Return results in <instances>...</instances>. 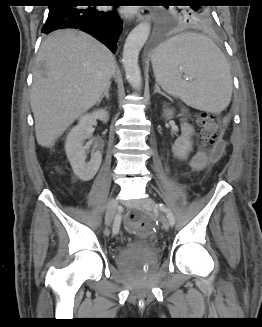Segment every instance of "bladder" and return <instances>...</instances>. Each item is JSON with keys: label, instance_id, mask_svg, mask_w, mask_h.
I'll use <instances>...</instances> for the list:
<instances>
[{"label": "bladder", "instance_id": "bladder-1", "mask_svg": "<svg viewBox=\"0 0 262 327\" xmlns=\"http://www.w3.org/2000/svg\"><path fill=\"white\" fill-rule=\"evenodd\" d=\"M144 249H149L153 253L155 252V250L149 245L148 240H135L121 249L119 260L122 261L124 258L131 257Z\"/></svg>", "mask_w": 262, "mask_h": 327}]
</instances>
